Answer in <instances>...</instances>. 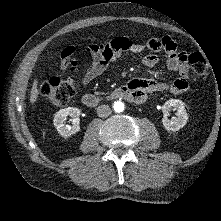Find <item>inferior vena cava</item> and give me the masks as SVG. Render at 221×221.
I'll use <instances>...</instances> for the list:
<instances>
[{
    "instance_id": "inferior-vena-cava-1",
    "label": "inferior vena cava",
    "mask_w": 221,
    "mask_h": 221,
    "mask_svg": "<svg viewBox=\"0 0 221 221\" xmlns=\"http://www.w3.org/2000/svg\"><path fill=\"white\" fill-rule=\"evenodd\" d=\"M111 108L108 105H100L97 108V115L101 118H106L111 114Z\"/></svg>"
}]
</instances>
